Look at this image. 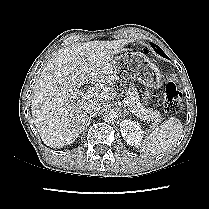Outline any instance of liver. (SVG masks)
Returning <instances> with one entry per match:
<instances>
[{"mask_svg": "<svg viewBox=\"0 0 209 209\" xmlns=\"http://www.w3.org/2000/svg\"><path fill=\"white\" fill-rule=\"evenodd\" d=\"M130 40L75 43L60 49L42 70L32 96L33 122L49 147L72 144L86 123V107L93 101L106 102L116 96L115 55ZM99 82L94 98L80 99L81 85Z\"/></svg>", "mask_w": 209, "mask_h": 209, "instance_id": "6515ba94", "label": "liver"}]
</instances>
